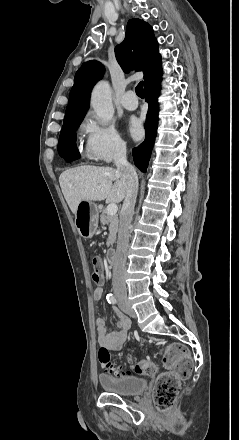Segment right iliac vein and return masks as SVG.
Returning <instances> with one entry per match:
<instances>
[{"instance_id": "63e3f726", "label": "right iliac vein", "mask_w": 239, "mask_h": 440, "mask_svg": "<svg viewBox=\"0 0 239 440\" xmlns=\"http://www.w3.org/2000/svg\"><path fill=\"white\" fill-rule=\"evenodd\" d=\"M121 306H122V310L124 312H126L127 314H129L132 317L136 316L135 311L131 308V306L127 302H125V301L121 302Z\"/></svg>"}]
</instances>
